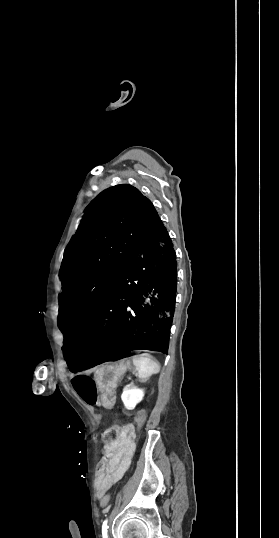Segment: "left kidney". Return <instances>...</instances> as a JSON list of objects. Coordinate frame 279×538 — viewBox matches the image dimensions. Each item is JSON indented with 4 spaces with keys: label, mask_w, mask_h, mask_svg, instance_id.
Wrapping results in <instances>:
<instances>
[{
    "label": "left kidney",
    "mask_w": 279,
    "mask_h": 538,
    "mask_svg": "<svg viewBox=\"0 0 279 538\" xmlns=\"http://www.w3.org/2000/svg\"><path fill=\"white\" fill-rule=\"evenodd\" d=\"M143 398V390H139V388H133V386H125L123 394L121 396V400L127 410H134L136 404H139V402H141Z\"/></svg>",
    "instance_id": "left-kidney-1"
}]
</instances>
